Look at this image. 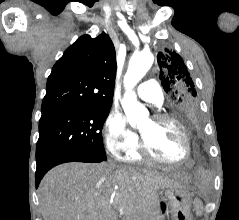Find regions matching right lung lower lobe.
<instances>
[{
	"instance_id": "98d812e1",
	"label": "right lung lower lobe",
	"mask_w": 239,
	"mask_h": 220,
	"mask_svg": "<svg viewBox=\"0 0 239 220\" xmlns=\"http://www.w3.org/2000/svg\"><path fill=\"white\" fill-rule=\"evenodd\" d=\"M101 162L104 158L87 155V154H76V153H57L44 157L37 161L36 169V188L38 187L42 177L46 174L48 170L52 167L65 163V162Z\"/></svg>"
}]
</instances>
